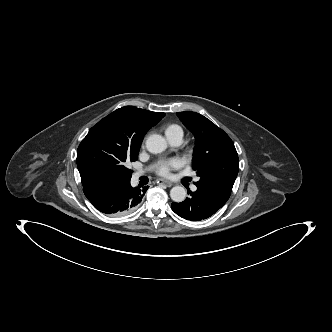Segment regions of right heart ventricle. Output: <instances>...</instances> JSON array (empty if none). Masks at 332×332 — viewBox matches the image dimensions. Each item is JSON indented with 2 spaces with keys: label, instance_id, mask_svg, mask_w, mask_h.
<instances>
[{
  "label": "right heart ventricle",
  "instance_id": "e07e8e85",
  "mask_svg": "<svg viewBox=\"0 0 332 332\" xmlns=\"http://www.w3.org/2000/svg\"><path fill=\"white\" fill-rule=\"evenodd\" d=\"M165 136L168 140L174 137H183V130L178 124H169L164 129Z\"/></svg>",
  "mask_w": 332,
  "mask_h": 332
}]
</instances>
